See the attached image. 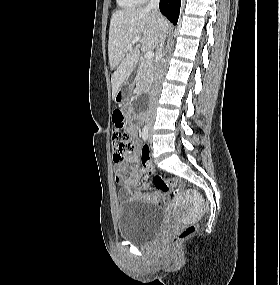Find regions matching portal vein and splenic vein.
I'll return each mask as SVG.
<instances>
[{
    "label": "portal vein and splenic vein",
    "instance_id": "obj_1",
    "mask_svg": "<svg viewBox=\"0 0 280 285\" xmlns=\"http://www.w3.org/2000/svg\"><path fill=\"white\" fill-rule=\"evenodd\" d=\"M141 41L140 37H135L132 42L127 46L128 50L132 49V45ZM154 57V53L152 51H148L145 53V59L150 61Z\"/></svg>",
    "mask_w": 280,
    "mask_h": 285
}]
</instances>
